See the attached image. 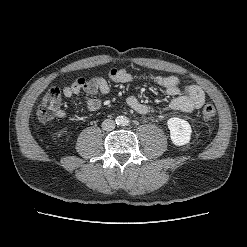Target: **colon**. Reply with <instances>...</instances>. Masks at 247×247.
<instances>
[{
  "mask_svg": "<svg viewBox=\"0 0 247 247\" xmlns=\"http://www.w3.org/2000/svg\"><path fill=\"white\" fill-rule=\"evenodd\" d=\"M61 111V92L58 88H51L41 99L38 106V118L42 121H50L59 115ZM216 114L212 104L202 107L200 115L204 120L212 119Z\"/></svg>",
  "mask_w": 247,
  "mask_h": 247,
  "instance_id": "colon-1",
  "label": "colon"
}]
</instances>
